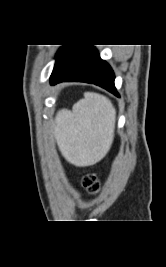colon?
Instances as JSON below:
<instances>
[{"label": "colon", "instance_id": "5ec220e1", "mask_svg": "<svg viewBox=\"0 0 166 267\" xmlns=\"http://www.w3.org/2000/svg\"><path fill=\"white\" fill-rule=\"evenodd\" d=\"M81 182L83 187L92 194L97 193L100 188L98 177L94 173L84 174Z\"/></svg>", "mask_w": 166, "mask_h": 267}]
</instances>
